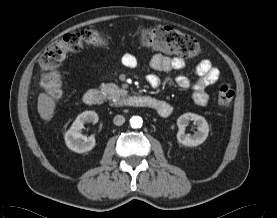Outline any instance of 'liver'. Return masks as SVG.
Here are the masks:
<instances>
[{
    "label": "liver",
    "mask_w": 277,
    "mask_h": 218,
    "mask_svg": "<svg viewBox=\"0 0 277 218\" xmlns=\"http://www.w3.org/2000/svg\"><path fill=\"white\" fill-rule=\"evenodd\" d=\"M55 107L56 102L52 97L46 93L39 94L37 110L43 120L48 121L53 117Z\"/></svg>",
    "instance_id": "liver-1"
}]
</instances>
